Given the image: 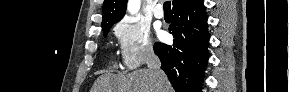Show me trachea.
Listing matches in <instances>:
<instances>
[{"instance_id": "obj_1", "label": "trachea", "mask_w": 289, "mask_h": 92, "mask_svg": "<svg viewBox=\"0 0 289 92\" xmlns=\"http://www.w3.org/2000/svg\"><path fill=\"white\" fill-rule=\"evenodd\" d=\"M163 7H164V12H166V13L171 12V2L170 1H166L164 3Z\"/></svg>"}]
</instances>
